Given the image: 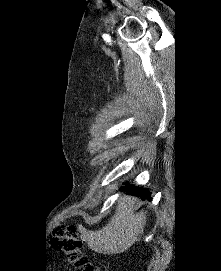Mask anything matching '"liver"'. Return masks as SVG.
<instances>
[{
  "label": "liver",
  "instance_id": "6515ba94",
  "mask_svg": "<svg viewBox=\"0 0 221 271\" xmlns=\"http://www.w3.org/2000/svg\"><path fill=\"white\" fill-rule=\"evenodd\" d=\"M110 221L96 231L80 229L82 241H87L90 249L98 253H122L138 241L144 233L146 211H134L135 197L122 195Z\"/></svg>",
  "mask_w": 221,
  "mask_h": 271
}]
</instances>
